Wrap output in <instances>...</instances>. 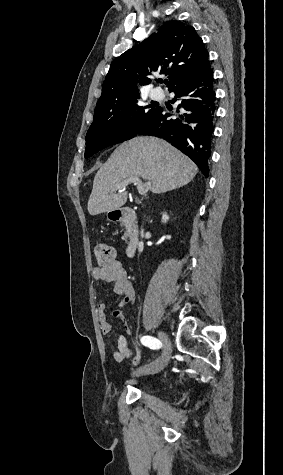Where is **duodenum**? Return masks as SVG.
Masks as SVG:
<instances>
[{"label":"duodenum","instance_id":"obj_1","mask_svg":"<svg viewBox=\"0 0 283 475\" xmlns=\"http://www.w3.org/2000/svg\"><path fill=\"white\" fill-rule=\"evenodd\" d=\"M111 219L126 226L128 240L125 251L128 257H133L139 245V226L136 211L129 207L120 208L112 213Z\"/></svg>","mask_w":283,"mask_h":475}]
</instances>
